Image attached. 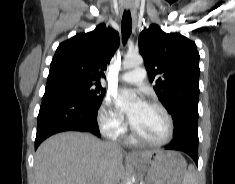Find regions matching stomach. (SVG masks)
Masks as SVG:
<instances>
[{
	"instance_id": "obj_1",
	"label": "stomach",
	"mask_w": 235,
	"mask_h": 184,
	"mask_svg": "<svg viewBox=\"0 0 235 184\" xmlns=\"http://www.w3.org/2000/svg\"><path fill=\"white\" fill-rule=\"evenodd\" d=\"M132 164L146 174V184H182L187 162L179 152H154L146 158L133 156Z\"/></svg>"
}]
</instances>
